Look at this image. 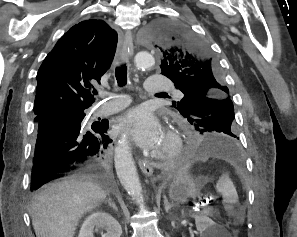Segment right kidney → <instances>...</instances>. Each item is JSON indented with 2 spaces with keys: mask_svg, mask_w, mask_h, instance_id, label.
<instances>
[{
  "mask_svg": "<svg viewBox=\"0 0 297 237\" xmlns=\"http://www.w3.org/2000/svg\"><path fill=\"white\" fill-rule=\"evenodd\" d=\"M100 228L107 231L102 237H120L122 234L121 225L113 216L95 212L83 222L78 237H94V232Z\"/></svg>",
  "mask_w": 297,
  "mask_h": 237,
  "instance_id": "ca27d5eb",
  "label": "right kidney"
}]
</instances>
